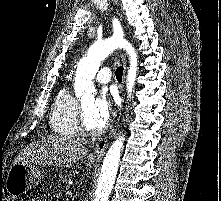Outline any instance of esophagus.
I'll return each instance as SVG.
<instances>
[{"mask_svg": "<svg viewBox=\"0 0 221 201\" xmlns=\"http://www.w3.org/2000/svg\"><path fill=\"white\" fill-rule=\"evenodd\" d=\"M122 61L124 64V73L126 70V57L124 54H122ZM124 82V81H123ZM121 90H123V85L121 86ZM115 131L116 129L114 128L110 134L104 138H102L101 140H99V142L95 145L94 151L93 153L89 156V160L91 162H100L106 152L107 147L110 144V141L112 139V137L115 135Z\"/></svg>", "mask_w": 221, "mask_h": 201, "instance_id": "34e87169", "label": "esophagus"}]
</instances>
